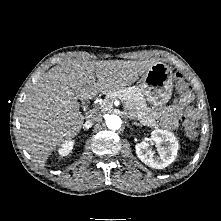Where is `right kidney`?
Wrapping results in <instances>:
<instances>
[{
  "instance_id": "1",
  "label": "right kidney",
  "mask_w": 221,
  "mask_h": 221,
  "mask_svg": "<svg viewBox=\"0 0 221 221\" xmlns=\"http://www.w3.org/2000/svg\"><path fill=\"white\" fill-rule=\"evenodd\" d=\"M74 146V141H67L62 144L61 148L58 150L60 156H67L71 153Z\"/></svg>"
}]
</instances>
